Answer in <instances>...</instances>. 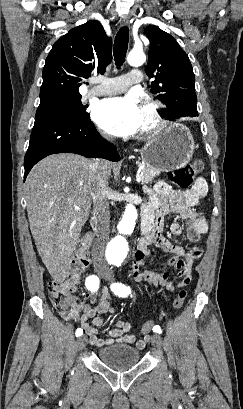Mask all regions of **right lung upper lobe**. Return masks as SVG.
Instances as JSON below:
<instances>
[{
    "label": "right lung upper lobe",
    "instance_id": "obj_1",
    "mask_svg": "<svg viewBox=\"0 0 243 409\" xmlns=\"http://www.w3.org/2000/svg\"><path fill=\"white\" fill-rule=\"evenodd\" d=\"M112 61V41L98 21H88L58 39L43 68L40 101L80 95L78 88Z\"/></svg>",
    "mask_w": 243,
    "mask_h": 409
}]
</instances>
